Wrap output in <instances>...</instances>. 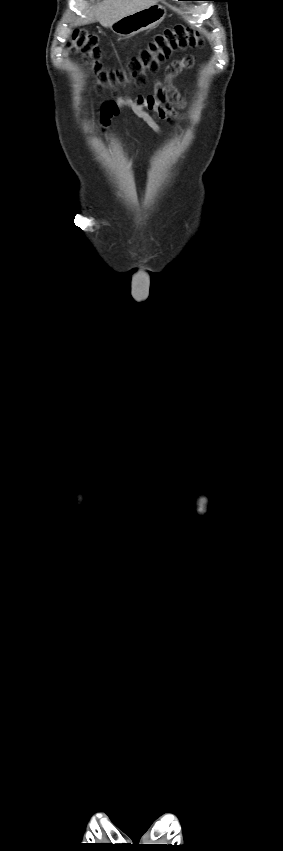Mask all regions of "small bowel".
<instances>
[{
  "instance_id": "1",
  "label": "small bowel",
  "mask_w": 283,
  "mask_h": 851,
  "mask_svg": "<svg viewBox=\"0 0 283 851\" xmlns=\"http://www.w3.org/2000/svg\"><path fill=\"white\" fill-rule=\"evenodd\" d=\"M192 62V58H185L182 61L171 63L167 68L165 80L156 83L155 92L151 95H141L136 99L119 98L114 103L105 104L101 110V129L104 131L109 126L112 117L118 114L119 109L128 108L155 133L162 135L160 126L148 113V110L156 112L160 119L170 124L174 123L176 113L185 107V101L173 86L172 80L183 68L190 66Z\"/></svg>"
}]
</instances>
